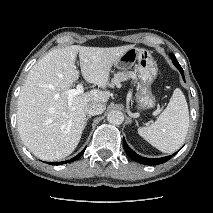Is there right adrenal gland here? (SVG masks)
<instances>
[{"label":"right adrenal gland","instance_id":"2a0ac1e0","mask_svg":"<svg viewBox=\"0 0 213 213\" xmlns=\"http://www.w3.org/2000/svg\"><path fill=\"white\" fill-rule=\"evenodd\" d=\"M89 118H90V116H88V117L86 118L85 124H87V121L89 120Z\"/></svg>","mask_w":213,"mask_h":213}]
</instances>
